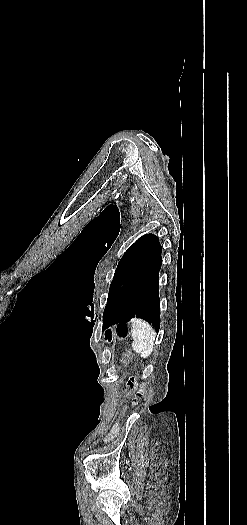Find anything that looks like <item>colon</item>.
<instances>
[{
    "mask_svg": "<svg viewBox=\"0 0 247 525\" xmlns=\"http://www.w3.org/2000/svg\"><path fill=\"white\" fill-rule=\"evenodd\" d=\"M139 383H140V378H139V376H133V377L130 379V381H129V384H130V385H136V386H138Z\"/></svg>",
    "mask_w": 247,
    "mask_h": 525,
    "instance_id": "1",
    "label": "colon"
}]
</instances>
